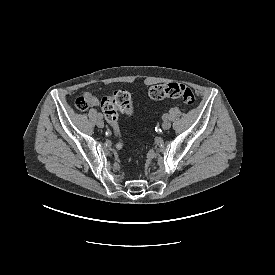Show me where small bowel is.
Instances as JSON below:
<instances>
[{"label": "small bowel", "mask_w": 275, "mask_h": 275, "mask_svg": "<svg viewBox=\"0 0 275 275\" xmlns=\"http://www.w3.org/2000/svg\"><path fill=\"white\" fill-rule=\"evenodd\" d=\"M85 97L87 98L88 103H89L90 105H92V106H97V105L99 104V100H98L95 96H93L92 94L86 93V94H85Z\"/></svg>", "instance_id": "c3829d8e"}]
</instances>
